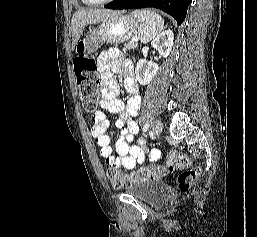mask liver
I'll list each match as a JSON object with an SVG mask.
<instances>
[{"mask_svg":"<svg viewBox=\"0 0 257 237\" xmlns=\"http://www.w3.org/2000/svg\"><path fill=\"white\" fill-rule=\"evenodd\" d=\"M116 11L111 10H79L76 11L72 17L71 21V31H72V50L77 45L82 32L86 25L99 23L109 17L117 14Z\"/></svg>","mask_w":257,"mask_h":237,"instance_id":"liver-1","label":"liver"}]
</instances>
